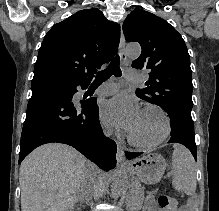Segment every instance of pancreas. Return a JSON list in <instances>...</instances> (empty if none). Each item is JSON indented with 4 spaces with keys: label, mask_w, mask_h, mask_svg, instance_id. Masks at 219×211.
I'll use <instances>...</instances> for the list:
<instances>
[{
    "label": "pancreas",
    "mask_w": 219,
    "mask_h": 211,
    "mask_svg": "<svg viewBox=\"0 0 219 211\" xmlns=\"http://www.w3.org/2000/svg\"><path fill=\"white\" fill-rule=\"evenodd\" d=\"M134 192H130L128 195V204L130 206V211H140L141 203H143L144 193L141 186H130Z\"/></svg>",
    "instance_id": "1"
}]
</instances>
